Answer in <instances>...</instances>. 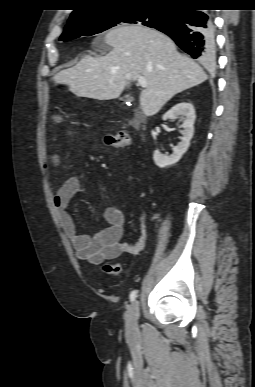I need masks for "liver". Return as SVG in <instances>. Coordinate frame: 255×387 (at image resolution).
<instances>
[{
	"label": "liver",
	"mask_w": 255,
	"mask_h": 387,
	"mask_svg": "<svg viewBox=\"0 0 255 387\" xmlns=\"http://www.w3.org/2000/svg\"><path fill=\"white\" fill-rule=\"evenodd\" d=\"M112 50L100 57L86 55L74 67L54 77L78 97L98 100L118 98L136 77L147 86L140 94L146 116L155 115L176 94L207 80L203 69L180 54L165 34L141 25L112 29L104 38Z\"/></svg>",
	"instance_id": "1"
}]
</instances>
